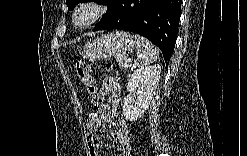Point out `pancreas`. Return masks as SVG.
<instances>
[{"mask_svg":"<svg viewBox=\"0 0 247 156\" xmlns=\"http://www.w3.org/2000/svg\"><path fill=\"white\" fill-rule=\"evenodd\" d=\"M116 58L121 67H126V65L128 64L129 58L125 54L117 55Z\"/></svg>","mask_w":247,"mask_h":156,"instance_id":"pancreas-1","label":"pancreas"}]
</instances>
